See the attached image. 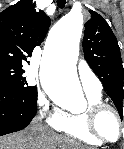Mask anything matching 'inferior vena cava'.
Here are the masks:
<instances>
[{"instance_id":"obj_1","label":"inferior vena cava","mask_w":124,"mask_h":149,"mask_svg":"<svg viewBox=\"0 0 124 149\" xmlns=\"http://www.w3.org/2000/svg\"><path fill=\"white\" fill-rule=\"evenodd\" d=\"M33 130L40 129L41 126L37 123V121L33 122V124L30 126Z\"/></svg>"}]
</instances>
